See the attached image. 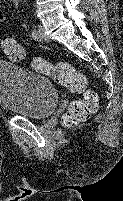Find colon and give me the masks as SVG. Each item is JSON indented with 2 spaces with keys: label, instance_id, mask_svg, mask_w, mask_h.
I'll use <instances>...</instances> for the list:
<instances>
[{
  "label": "colon",
  "instance_id": "5ec220e1",
  "mask_svg": "<svg viewBox=\"0 0 123 201\" xmlns=\"http://www.w3.org/2000/svg\"><path fill=\"white\" fill-rule=\"evenodd\" d=\"M1 48L5 56L13 62H21L25 58V53L21 45L13 38H4ZM35 69L52 77L59 85L67 87L74 92H82L85 90L86 79L77 72L68 63L51 64L41 58H37L33 62ZM98 97L94 92H85L82 100L73 101L65 115L63 123L68 126H75L81 122L88 120L98 108Z\"/></svg>",
  "mask_w": 123,
  "mask_h": 201
}]
</instances>
